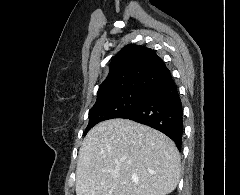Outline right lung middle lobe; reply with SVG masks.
Wrapping results in <instances>:
<instances>
[{
  "label": "right lung middle lobe",
  "instance_id": "obj_1",
  "mask_svg": "<svg viewBox=\"0 0 240 195\" xmlns=\"http://www.w3.org/2000/svg\"><path fill=\"white\" fill-rule=\"evenodd\" d=\"M146 93L140 91H122L97 98L94 106L89 111V124L84 134L101 121L119 118L129 112L143 101Z\"/></svg>",
  "mask_w": 240,
  "mask_h": 195
}]
</instances>
